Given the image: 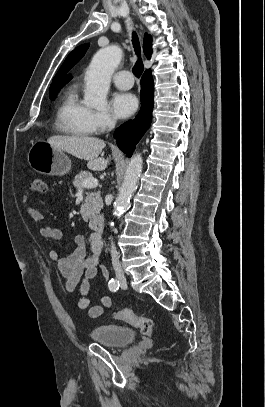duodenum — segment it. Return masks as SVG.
<instances>
[{"label":"duodenum","mask_w":265,"mask_h":407,"mask_svg":"<svg viewBox=\"0 0 265 407\" xmlns=\"http://www.w3.org/2000/svg\"><path fill=\"white\" fill-rule=\"evenodd\" d=\"M90 227L98 233H103L104 231V220L102 216H95L90 220Z\"/></svg>","instance_id":"410a0bca"}]
</instances>
